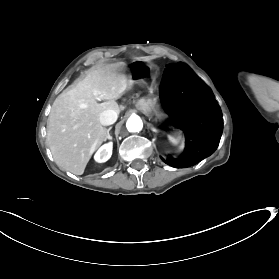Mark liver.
<instances>
[{"instance_id":"obj_1","label":"liver","mask_w":279,"mask_h":279,"mask_svg":"<svg viewBox=\"0 0 279 279\" xmlns=\"http://www.w3.org/2000/svg\"><path fill=\"white\" fill-rule=\"evenodd\" d=\"M117 68L93 69L55 99L47 121L46 143L64 170L82 175L94 151L106 140L107 129L100 123V114L105 110L119 113L116 100L131 85ZM98 99L106 101L98 103Z\"/></svg>"}]
</instances>
